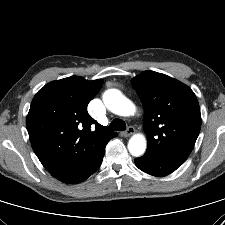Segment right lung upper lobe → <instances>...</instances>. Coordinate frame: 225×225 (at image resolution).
<instances>
[{"label": "right lung upper lobe", "mask_w": 225, "mask_h": 225, "mask_svg": "<svg viewBox=\"0 0 225 225\" xmlns=\"http://www.w3.org/2000/svg\"><path fill=\"white\" fill-rule=\"evenodd\" d=\"M102 84V79L71 76L46 84L32 100L26 119L31 145L58 180L92 166L102 145L117 135L87 112Z\"/></svg>", "instance_id": "obj_1"}]
</instances>
